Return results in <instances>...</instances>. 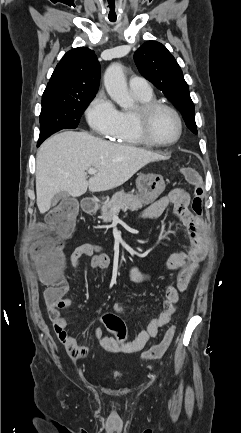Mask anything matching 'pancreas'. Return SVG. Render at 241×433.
Wrapping results in <instances>:
<instances>
[{
    "instance_id": "obj_1",
    "label": "pancreas",
    "mask_w": 241,
    "mask_h": 433,
    "mask_svg": "<svg viewBox=\"0 0 241 433\" xmlns=\"http://www.w3.org/2000/svg\"><path fill=\"white\" fill-rule=\"evenodd\" d=\"M147 204L148 202L139 195L118 192L113 195L111 200L102 206L101 215L99 218L103 220V222L108 223L112 220L114 215L119 213L121 209L123 211H137Z\"/></svg>"
}]
</instances>
